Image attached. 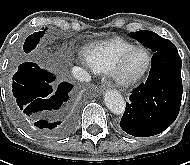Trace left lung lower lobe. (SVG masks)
I'll list each match as a JSON object with an SVG mask.
<instances>
[{"mask_svg":"<svg viewBox=\"0 0 190 165\" xmlns=\"http://www.w3.org/2000/svg\"><path fill=\"white\" fill-rule=\"evenodd\" d=\"M182 93L181 58L171 44L154 52L147 81L134 90L126 104L122 130L136 137L163 132L179 113Z\"/></svg>","mask_w":190,"mask_h":165,"instance_id":"1","label":"left lung lower lobe"}]
</instances>
